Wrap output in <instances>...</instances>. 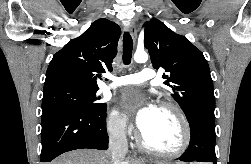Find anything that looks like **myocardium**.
Instances as JSON below:
<instances>
[{
    "label": "myocardium",
    "mask_w": 251,
    "mask_h": 164,
    "mask_svg": "<svg viewBox=\"0 0 251 164\" xmlns=\"http://www.w3.org/2000/svg\"><path fill=\"white\" fill-rule=\"evenodd\" d=\"M157 107L172 111L174 115L176 116V118L178 119L181 126V130H182V140H181L180 145L175 150H172V151L158 150L149 146L146 143L142 133L138 137V143L143 150H145L146 152L152 155L159 156V157H167V158L178 157L182 155L190 145L191 128H190L189 121L185 113L183 112V110L177 104L173 102L160 101L157 103Z\"/></svg>",
    "instance_id": "f54148a6"
}]
</instances>
